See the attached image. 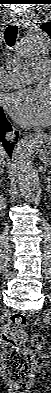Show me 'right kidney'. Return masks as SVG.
Returning <instances> with one entry per match:
<instances>
[{"label": "right kidney", "instance_id": "ca27d5eb", "mask_svg": "<svg viewBox=\"0 0 51 393\" xmlns=\"http://www.w3.org/2000/svg\"><path fill=\"white\" fill-rule=\"evenodd\" d=\"M0 205H1V207H4L5 202L3 201V199L0 200Z\"/></svg>", "mask_w": 51, "mask_h": 393}]
</instances>
